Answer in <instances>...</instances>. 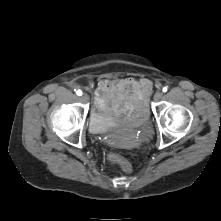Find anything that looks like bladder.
Here are the masks:
<instances>
[{
	"mask_svg": "<svg viewBox=\"0 0 221 221\" xmlns=\"http://www.w3.org/2000/svg\"><path fill=\"white\" fill-rule=\"evenodd\" d=\"M132 117H137L139 120H144L147 117L146 110L139 114H134ZM126 116L117 112H105L95 108L90 115L89 130L93 134L107 136L108 141L114 146H120L121 141L114 137V126L118 121L125 120Z\"/></svg>",
	"mask_w": 221,
	"mask_h": 221,
	"instance_id": "1",
	"label": "bladder"
}]
</instances>
